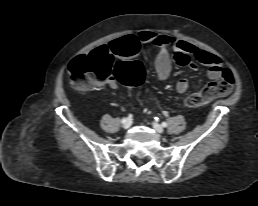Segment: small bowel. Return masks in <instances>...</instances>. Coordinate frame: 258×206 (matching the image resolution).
<instances>
[{
  "instance_id": "1",
  "label": "small bowel",
  "mask_w": 258,
  "mask_h": 206,
  "mask_svg": "<svg viewBox=\"0 0 258 206\" xmlns=\"http://www.w3.org/2000/svg\"><path fill=\"white\" fill-rule=\"evenodd\" d=\"M143 46L158 49L154 65L159 80L163 81L169 77L172 60L179 66H186L192 69H198L199 65H205L208 67V77L212 80H217L222 76L224 68L219 56L170 35L152 31H142L136 35H126L95 50H103L111 56L127 57L135 55ZM170 46L173 50L172 55L168 50ZM106 84L110 88H117V83L114 79H109ZM188 87L189 82L186 78H181L176 83V90L179 93H185Z\"/></svg>"
}]
</instances>
